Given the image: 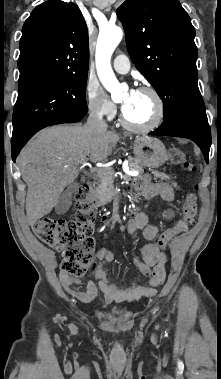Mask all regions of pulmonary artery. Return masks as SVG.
Listing matches in <instances>:
<instances>
[{
    "label": "pulmonary artery",
    "mask_w": 221,
    "mask_h": 379,
    "mask_svg": "<svg viewBox=\"0 0 221 379\" xmlns=\"http://www.w3.org/2000/svg\"><path fill=\"white\" fill-rule=\"evenodd\" d=\"M113 67L118 73L125 74L130 69V61L126 55L120 54L114 59Z\"/></svg>",
    "instance_id": "1"
}]
</instances>
